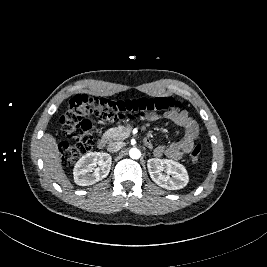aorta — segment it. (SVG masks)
<instances>
[{
  "instance_id": "obj_1",
  "label": "aorta",
  "mask_w": 267,
  "mask_h": 267,
  "mask_svg": "<svg viewBox=\"0 0 267 267\" xmlns=\"http://www.w3.org/2000/svg\"><path fill=\"white\" fill-rule=\"evenodd\" d=\"M129 156L132 158V159H139L141 157V152L139 149L137 148H132L130 149L129 151Z\"/></svg>"
}]
</instances>
